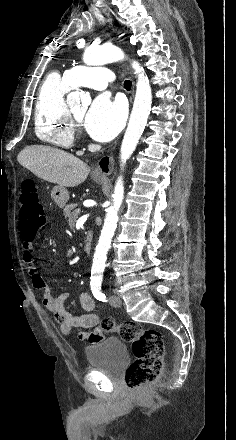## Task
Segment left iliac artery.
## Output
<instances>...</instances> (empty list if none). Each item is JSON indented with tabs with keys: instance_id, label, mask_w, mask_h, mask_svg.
Listing matches in <instances>:
<instances>
[{
	"instance_id": "left-iliac-artery-1",
	"label": "left iliac artery",
	"mask_w": 236,
	"mask_h": 440,
	"mask_svg": "<svg viewBox=\"0 0 236 440\" xmlns=\"http://www.w3.org/2000/svg\"><path fill=\"white\" fill-rule=\"evenodd\" d=\"M91 290H92L93 296L97 300L102 301V302H106L107 301L105 294H103L101 292V286L100 285H93V286H91Z\"/></svg>"
}]
</instances>
